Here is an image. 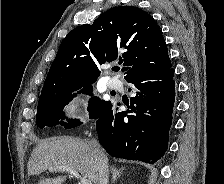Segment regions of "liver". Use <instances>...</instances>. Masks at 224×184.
Instances as JSON below:
<instances>
[{"instance_id":"obj_1","label":"liver","mask_w":224,"mask_h":184,"mask_svg":"<svg viewBox=\"0 0 224 184\" xmlns=\"http://www.w3.org/2000/svg\"><path fill=\"white\" fill-rule=\"evenodd\" d=\"M68 167L79 171L94 184L98 182L97 164L90 144L80 138L62 136L41 141L28 161V175H39L50 167ZM66 176L46 178L38 184H65Z\"/></svg>"}]
</instances>
